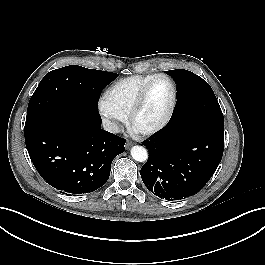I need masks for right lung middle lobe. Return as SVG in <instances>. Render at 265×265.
Here are the masks:
<instances>
[{"label": "right lung middle lobe", "instance_id": "right-lung-middle-lobe-1", "mask_svg": "<svg viewBox=\"0 0 265 265\" xmlns=\"http://www.w3.org/2000/svg\"><path fill=\"white\" fill-rule=\"evenodd\" d=\"M116 77V73L78 65H69L47 73L29 101L25 129L44 122L67 108L98 113L101 90Z\"/></svg>", "mask_w": 265, "mask_h": 265}]
</instances>
